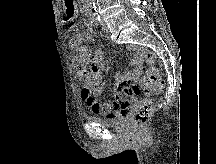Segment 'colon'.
Instances as JSON below:
<instances>
[{"instance_id":"5ec220e1","label":"colon","mask_w":216,"mask_h":164,"mask_svg":"<svg viewBox=\"0 0 216 164\" xmlns=\"http://www.w3.org/2000/svg\"><path fill=\"white\" fill-rule=\"evenodd\" d=\"M145 61L149 66V70L142 77L139 83L135 84L131 81H127L122 85V90L125 96H139L145 92H148L152 88H161L163 81L159 80L156 73L155 67L159 61L157 56L152 52L145 54ZM152 112V103L149 100H142L136 109L133 116V124L136 127H142L149 119Z\"/></svg>"}]
</instances>
